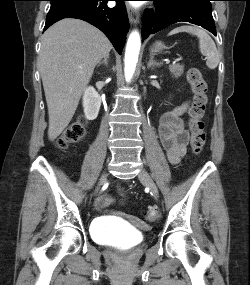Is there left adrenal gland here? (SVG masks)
Listing matches in <instances>:
<instances>
[{
  "label": "left adrenal gland",
  "mask_w": 250,
  "mask_h": 285,
  "mask_svg": "<svg viewBox=\"0 0 250 285\" xmlns=\"http://www.w3.org/2000/svg\"><path fill=\"white\" fill-rule=\"evenodd\" d=\"M162 63L161 62H157V61H155L154 60V54L152 53V54H150V59H149V62H148V64H147V67L148 68H153V67H158V66H160Z\"/></svg>",
  "instance_id": "left-adrenal-gland-1"
}]
</instances>
